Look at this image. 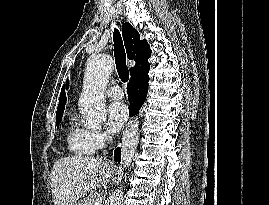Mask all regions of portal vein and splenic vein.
<instances>
[{
    "instance_id": "18ae733b",
    "label": "portal vein and splenic vein",
    "mask_w": 269,
    "mask_h": 205,
    "mask_svg": "<svg viewBox=\"0 0 269 205\" xmlns=\"http://www.w3.org/2000/svg\"><path fill=\"white\" fill-rule=\"evenodd\" d=\"M94 205H102V198H97Z\"/></svg>"
}]
</instances>
